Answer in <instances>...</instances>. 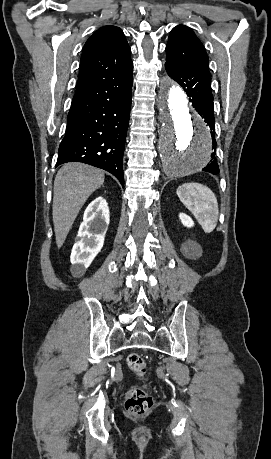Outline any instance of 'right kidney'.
<instances>
[{
  "label": "right kidney",
  "mask_w": 271,
  "mask_h": 459,
  "mask_svg": "<svg viewBox=\"0 0 271 459\" xmlns=\"http://www.w3.org/2000/svg\"><path fill=\"white\" fill-rule=\"evenodd\" d=\"M109 222L108 204L102 196H98L86 208L77 241L72 247L70 261L74 277H82L95 255L101 251Z\"/></svg>",
  "instance_id": "right-kidney-1"
}]
</instances>
